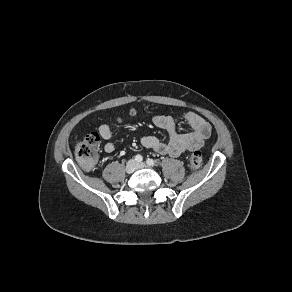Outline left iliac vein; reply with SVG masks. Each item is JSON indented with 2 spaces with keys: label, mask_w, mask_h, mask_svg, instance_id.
<instances>
[{
  "label": "left iliac vein",
  "mask_w": 292,
  "mask_h": 292,
  "mask_svg": "<svg viewBox=\"0 0 292 292\" xmlns=\"http://www.w3.org/2000/svg\"><path fill=\"white\" fill-rule=\"evenodd\" d=\"M144 167H146V164L144 162L137 164V168H144Z\"/></svg>",
  "instance_id": "left-iliac-vein-1"
}]
</instances>
